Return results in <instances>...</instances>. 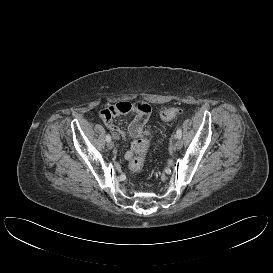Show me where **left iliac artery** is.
Instances as JSON below:
<instances>
[{
	"label": "left iliac artery",
	"mask_w": 273,
	"mask_h": 273,
	"mask_svg": "<svg viewBox=\"0 0 273 273\" xmlns=\"http://www.w3.org/2000/svg\"><path fill=\"white\" fill-rule=\"evenodd\" d=\"M176 136H177V138H181L182 137V130H181L180 127L176 131Z\"/></svg>",
	"instance_id": "44dca946"
}]
</instances>
